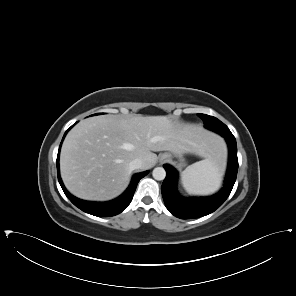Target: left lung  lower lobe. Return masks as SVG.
Instances as JSON below:
<instances>
[{
  "instance_id": "0a47b994",
  "label": "left lung lower lobe",
  "mask_w": 296,
  "mask_h": 296,
  "mask_svg": "<svg viewBox=\"0 0 296 296\" xmlns=\"http://www.w3.org/2000/svg\"><path fill=\"white\" fill-rule=\"evenodd\" d=\"M222 136L228 144L229 162L224 188L216 195L203 198H184L180 196L176 190L177 171L167 164L164 165L167 175L161 187L162 196L167 209L174 216L181 219L205 216L214 212L228 198L238 171L237 145L232 133H223Z\"/></svg>"
}]
</instances>
